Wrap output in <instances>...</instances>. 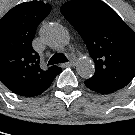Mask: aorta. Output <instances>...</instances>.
I'll return each instance as SVG.
<instances>
[{
	"label": "aorta",
	"mask_w": 135,
	"mask_h": 135,
	"mask_svg": "<svg viewBox=\"0 0 135 135\" xmlns=\"http://www.w3.org/2000/svg\"><path fill=\"white\" fill-rule=\"evenodd\" d=\"M43 41L54 49H62L70 40V36L65 27L59 24H49L41 32ZM77 73L82 78H89L95 72V67L89 58H81L76 64Z\"/></svg>",
	"instance_id": "obj_1"
}]
</instances>
